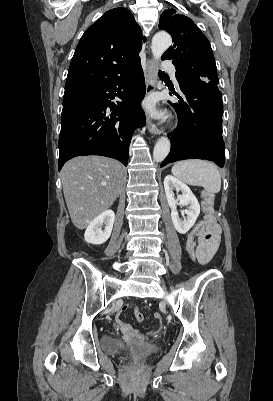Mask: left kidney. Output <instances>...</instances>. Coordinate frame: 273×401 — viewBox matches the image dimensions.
I'll return each mask as SVG.
<instances>
[{
  "label": "left kidney",
  "mask_w": 273,
  "mask_h": 401,
  "mask_svg": "<svg viewBox=\"0 0 273 401\" xmlns=\"http://www.w3.org/2000/svg\"><path fill=\"white\" fill-rule=\"evenodd\" d=\"M164 188L168 205L171 209L173 225L180 235H185V233H188L189 229L193 227L194 223H196L197 217L200 215V205L197 198L187 184H184V182H181V180H178V178H175L172 174H167V176H165ZM174 188H176V190H181L182 192V194H178V198H175L174 196ZM176 205H183V207L188 205L187 209L183 211V213L187 215L186 219H183V221L179 217Z\"/></svg>",
  "instance_id": "5707ae66"
}]
</instances>
